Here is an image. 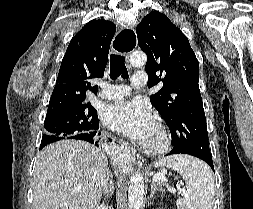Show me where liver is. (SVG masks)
Here are the masks:
<instances>
[{"label":"liver","instance_id":"obj_1","mask_svg":"<svg viewBox=\"0 0 253 209\" xmlns=\"http://www.w3.org/2000/svg\"><path fill=\"white\" fill-rule=\"evenodd\" d=\"M108 160L80 140H61L37 156L33 175L34 209H98Z\"/></svg>","mask_w":253,"mask_h":209}]
</instances>
